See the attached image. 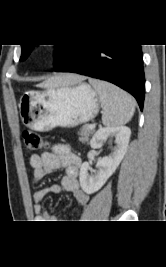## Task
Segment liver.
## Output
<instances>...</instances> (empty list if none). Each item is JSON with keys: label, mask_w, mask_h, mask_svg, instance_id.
<instances>
[{"label": "liver", "mask_w": 166, "mask_h": 267, "mask_svg": "<svg viewBox=\"0 0 166 267\" xmlns=\"http://www.w3.org/2000/svg\"><path fill=\"white\" fill-rule=\"evenodd\" d=\"M82 80H84L83 77L75 74L58 75L47 79L40 84V87L49 88L56 86L74 85L81 82Z\"/></svg>", "instance_id": "1"}]
</instances>
